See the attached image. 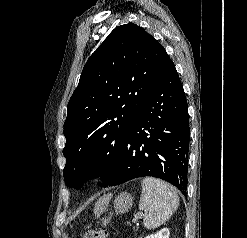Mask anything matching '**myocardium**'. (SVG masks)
<instances>
[{"mask_svg": "<svg viewBox=\"0 0 247 238\" xmlns=\"http://www.w3.org/2000/svg\"><path fill=\"white\" fill-rule=\"evenodd\" d=\"M101 170H102V167L97 166V167H95V168L92 169L91 173H92V174H97V173H99Z\"/></svg>", "mask_w": 247, "mask_h": 238, "instance_id": "1", "label": "myocardium"}]
</instances>
